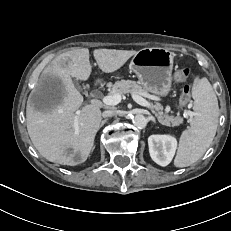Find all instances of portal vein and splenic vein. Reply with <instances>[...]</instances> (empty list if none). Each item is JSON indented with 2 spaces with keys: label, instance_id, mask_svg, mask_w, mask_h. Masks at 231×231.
Returning <instances> with one entry per match:
<instances>
[{
  "label": "portal vein and splenic vein",
  "instance_id": "obj_1",
  "mask_svg": "<svg viewBox=\"0 0 231 231\" xmlns=\"http://www.w3.org/2000/svg\"><path fill=\"white\" fill-rule=\"evenodd\" d=\"M133 96V99L141 106H144V107H147V108H153V105L148 102L147 100H145L144 98H142L140 95L138 94H132ZM122 100V97L120 94H113V95H107V96H104L102 98V102L105 104V105H109V106H114V105H117L121 102ZM153 112L155 113V111L153 110ZM76 128L78 127L77 126V122H76Z\"/></svg>",
  "mask_w": 231,
  "mask_h": 231
}]
</instances>
